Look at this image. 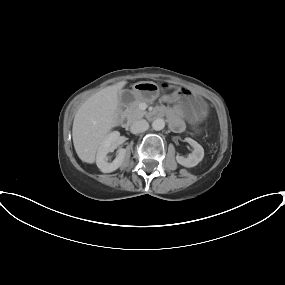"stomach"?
Returning <instances> with one entry per match:
<instances>
[{"instance_id": "obj_1", "label": "stomach", "mask_w": 285, "mask_h": 285, "mask_svg": "<svg viewBox=\"0 0 285 285\" xmlns=\"http://www.w3.org/2000/svg\"><path fill=\"white\" fill-rule=\"evenodd\" d=\"M161 88L154 82H138L133 85V99L150 102L158 97ZM173 102L179 108L183 118L199 122L207 117L208 107L204 99L187 89H178Z\"/></svg>"}]
</instances>
